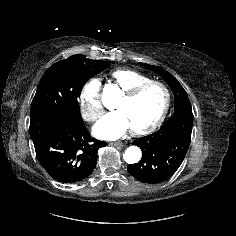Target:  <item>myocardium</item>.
<instances>
[{
    "mask_svg": "<svg viewBox=\"0 0 236 236\" xmlns=\"http://www.w3.org/2000/svg\"><path fill=\"white\" fill-rule=\"evenodd\" d=\"M154 85L161 87L165 93V103H164L163 109H162L161 113L159 114V116L157 117V119L153 123H151L150 125L143 127V128H139V129L132 128L131 131L135 135L149 134V133L155 131L162 124V122L166 118V115H167L169 108H170L171 93H170V90L167 87V85L164 84L163 82L157 81V80H150V81H147V82H144V83H141V84L135 86L134 88H132L131 90H129L127 92H124V94H123V98L125 100L131 101V100H134L135 98H137L147 88L154 86Z\"/></svg>",
    "mask_w": 236,
    "mask_h": 236,
    "instance_id": "f54148a6",
    "label": "myocardium"
}]
</instances>
